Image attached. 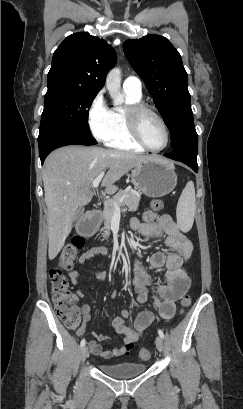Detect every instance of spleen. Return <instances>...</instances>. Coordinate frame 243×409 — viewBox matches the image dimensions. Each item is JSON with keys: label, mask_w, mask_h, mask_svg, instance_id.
Returning <instances> with one entry per match:
<instances>
[{"label": "spleen", "mask_w": 243, "mask_h": 409, "mask_svg": "<svg viewBox=\"0 0 243 409\" xmlns=\"http://www.w3.org/2000/svg\"><path fill=\"white\" fill-rule=\"evenodd\" d=\"M195 187L192 181L187 182L178 200L177 224L183 232H188L193 225L195 215Z\"/></svg>", "instance_id": "obj_1"}]
</instances>
